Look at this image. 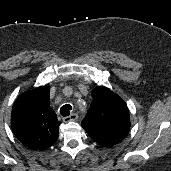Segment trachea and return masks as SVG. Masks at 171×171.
Listing matches in <instances>:
<instances>
[{"label":"trachea","instance_id":"3493384b","mask_svg":"<svg viewBox=\"0 0 171 171\" xmlns=\"http://www.w3.org/2000/svg\"><path fill=\"white\" fill-rule=\"evenodd\" d=\"M71 109H72L71 105H69V104L63 105L60 108V114L64 117H67V116H69Z\"/></svg>","mask_w":171,"mask_h":171}]
</instances>
